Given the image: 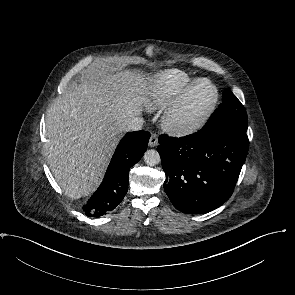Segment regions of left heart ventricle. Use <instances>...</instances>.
I'll use <instances>...</instances> for the list:
<instances>
[{
	"instance_id": "left-heart-ventricle-1",
	"label": "left heart ventricle",
	"mask_w": 295,
	"mask_h": 295,
	"mask_svg": "<svg viewBox=\"0 0 295 295\" xmlns=\"http://www.w3.org/2000/svg\"><path fill=\"white\" fill-rule=\"evenodd\" d=\"M213 97V87L207 82L200 83L184 104L180 119L189 123L200 118L210 106Z\"/></svg>"
}]
</instances>
